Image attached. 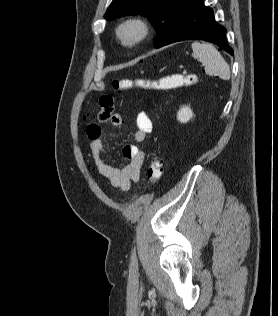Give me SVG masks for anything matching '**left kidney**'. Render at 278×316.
<instances>
[{
  "label": "left kidney",
  "instance_id": "obj_1",
  "mask_svg": "<svg viewBox=\"0 0 278 316\" xmlns=\"http://www.w3.org/2000/svg\"><path fill=\"white\" fill-rule=\"evenodd\" d=\"M193 117V112L189 106H183L177 113V119L181 123H187Z\"/></svg>",
  "mask_w": 278,
  "mask_h": 316
}]
</instances>
